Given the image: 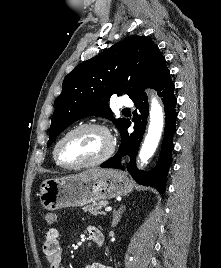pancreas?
Wrapping results in <instances>:
<instances>
[{"label": "pancreas", "mask_w": 221, "mask_h": 268, "mask_svg": "<svg viewBox=\"0 0 221 268\" xmlns=\"http://www.w3.org/2000/svg\"><path fill=\"white\" fill-rule=\"evenodd\" d=\"M107 204H108L107 201H99V202L92 203L91 205L84 206L82 209L84 212H89L97 216L99 214H103V212L101 211V208L103 206H106Z\"/></svg>", "instance_id": "cf45deb5"}]
</instances>
